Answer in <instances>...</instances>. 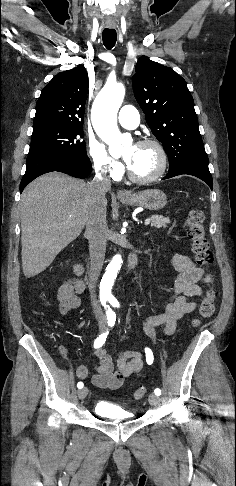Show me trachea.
Returning <instances> with one entry per match:
<instances>
[{
  "mask_svg": "<svg viewBox=\"0 0 236 486\" xmlns=\"http://www.w3.org/2000/svg\"><path fill=\"white\" fill-rule=\"evenodd\" d=\"M117 34L114 29H104L102 33L103 44L107 49H112L115 46Z\"/></svg>",
  "mask_w": 236,
  "mask_h": 486,
  "instance_id": "3493384b",
  "label": "trachea"
}]
</instances>
